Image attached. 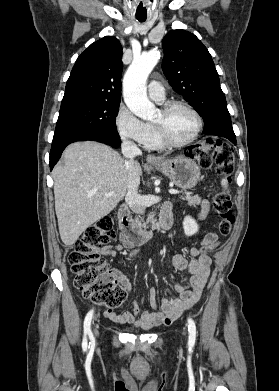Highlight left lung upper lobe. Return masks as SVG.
Segmentation results:
<instances>
[{
  "label": "left lung upper lobe",
  "instance_id": "left-lung-upper-lobe-1",
  "mask_svg": "<svg viewBox=\"0 0 279 391\" xmlns=\"http://www.w3.org/2000/svg\"><path fill=\"white\" fill-rule=\"evenodd\" d=\"M162 70L173 90L204 119V134L235 135L212 57L202 42L182 29L163 39Z\"/></svg>",
  "mask_w": 279,
  "mask_h": 391
}]
</instances>
